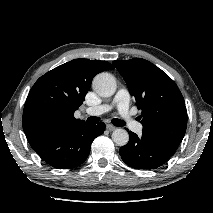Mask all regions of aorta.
<instances>
[{
	"instance_id": "aorta-1",
	"label": "aorta",
	"mask_w": 213,
	"mask_h": 213,
	"mask_svg": "<svg viewBox=\"0 0 213 213\" xmlns=\"http://www.w3.org/2000/svg\"><path fill=\"white\" fill-rule=\"evenodd\" d=\"M93 89L102 97H110L116 91V80L109 73H100L93 80ZM112 140L118 146H124L129 141V134L125 129L118 128L112 133Z\"/></svg>"
}]
</instances>
